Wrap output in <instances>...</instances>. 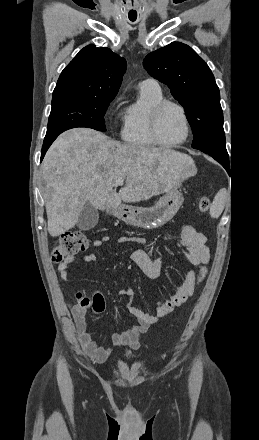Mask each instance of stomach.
Here are the masks:
<instances>
[{
    "instance_id": "1",
    "label": "stomach",
    "mask_w": 259,
    "mask_h": 440,
    "mask_svg": "<svg viewBox=\"0 0 259 440\" xmlns=\"http://www.w3.org/2000/svg\"><path fill=\"white\" fill-rule=\"evenodd\" d=\"M183 196L177 187L167 192L152 207H138L120 204L112 214L123 222L144 229H156L169 222L183 203Z\"/></svg>"
}]
</instances>
